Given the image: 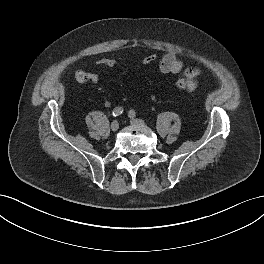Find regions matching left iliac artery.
Wrapping results in <instances>:
<instances>
[{
  "instance_id": "44dca946",
  "label": "left iliac artery",
  "mask_w": 264,
  "mask_h": 264,
  "mask_svg": "<svg viewBox=\"0 0 264 264\" xmlns=\"http://www.w3.org/2000/svg\"><path fill=\"white\" fill-rule=\"evenodd\" d=\"M136 116V112L134 110L129 111V117L133 118Z\"/></svg>"
}]
</instances>
